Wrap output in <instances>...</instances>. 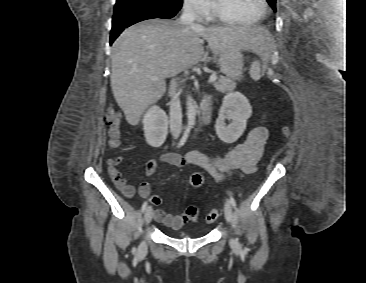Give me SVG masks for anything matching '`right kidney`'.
<instances>
[{
  "mask_svg": "<svg viewBox=\"0 0 366 283\" xmlns=\"http://www.w3.org/2000/svg\"><path fill=\"white\" fill-rule=\"evenodd\" d=\"M144 136L152 147H160L166 140L168 131V117L159 106L150 107L143 117Z\"/></svg>",
  "mask_w": 366,
  "mask_h": 283,
  "instance_id": "ca27d5eb",
  "label": "right kidney"
}]
</instances>
